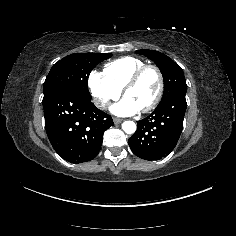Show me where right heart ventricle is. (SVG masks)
Masks as SVG:
<instances>
[{
  "instance_id": "1",
  "label": "right heart ventricle",
  "mask_w": 236,
  "mask_h": 236,
  "mask_svg": "<svg viewBox=\"0 0 236 236\" xmlns=\"http://www.w3.org/2000/svg\"><path fill=\"white\" fill-rule=\"evenodd\" d=\"M146 62L133 56L117 58L105 64L103 74L110 83L119 91H122L127 79Z\"/></svg>"
}]
</instances>
